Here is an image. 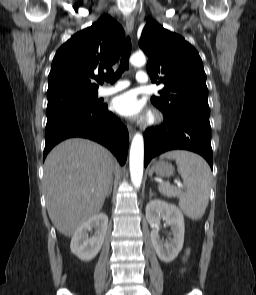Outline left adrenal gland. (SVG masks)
<instances>
[{
    "instance_id": "a2214340",
    "label": "left adrenal gland",
    "mask_w": 256,
    "mask_h": 295,
    "mask_svg": "<svg viewBox=\"0 0 256 295\" xmlns=\"http://www.w3.org/2000/svg\"><path fill=\"white\" fill-rule=\"evenodd\" d=\"M153 195H154V193L152 192V189L150 188V191H149V198H152Z\"/></svg>"
}]
</instances>
